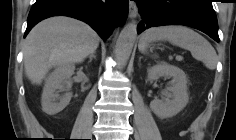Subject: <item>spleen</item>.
<instances>
[{
	"label": "spleen",
	"instance_id": "3e777b00",
	"mask_svg": "<svg viewBox=\"0 0 236 140\" xmlns=\"http://www.w3.org/2000/svg\"><path fill=\"white\" fill-rule=\"evenodd\" d=\"M154 41H169L183 49L189 50L192 56L204 63L208 69H215L217 59L212 45L200 34L185 26H162L147 30L139 42V50L146 52L148 44Z\"/></svg>",
	"mask_w": 236,
	"mask_h": 140
}]
</instances>
